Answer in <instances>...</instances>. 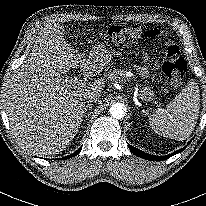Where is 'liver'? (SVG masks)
Listing matches in <instances>:
<instances>
[{"label":"liver","instance_id":"1","mask_svg":"<svg viewBox=\"0 0 206 206\" xmlns=\"http://www.w3.org/2000/svg\"><path fill=\"white\" fill-rule=\"evenodd\" d=\"M64 28L46 23L27 59L14 72L6 95V112L19 143L35 155H55L67 148L79 131L84 96H101L104 80L66 85L61 78L71 68L102 71L109 63L103 49L79 53L64 39Z\"/></svg>","mask_w":206,"mask_h":206}]
</instances>
